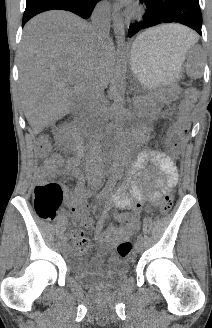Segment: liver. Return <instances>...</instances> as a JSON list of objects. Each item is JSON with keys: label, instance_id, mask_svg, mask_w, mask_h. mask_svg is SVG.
<instances>
[{"label": "liver", "instance_id": "6515ba94", "mask_svg": "<svg viewBox=\"0 0 212 328\" xmlns=\"http://www.w3.org/2000/svg\"><path fill=\"white\" fill-rule=\"evenodd\" d=\"M146 32L182 49L198 39L193 31L176 24ZM112 67V41L98 37L87 21L57 10L31 19L19 50V83L22 108L33 132L39 134L66 115L84 95L92 76L97 75L106 86Z\"/></svg>", "mask_w": 212, "mask_h": 328}]
</instances>
